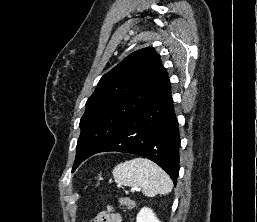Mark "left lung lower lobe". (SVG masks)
<instances>
[{"label": "left lung lower lobe", "instance_id": "left-lung-lower-lobe-1", "mask_svg": "<svg viewBox=\"0 0 257 222\" xmlns=\"http://www.w3.org/2000/svg\"><path fill=\"white\" fill-rule=\"evenodd\" d=\"M179 147L178 121L170 85L97 153L118 151L143 156L166 171L176 185Z\"/></svg>", "mask_w": 257, "mask_h": 222}]
</instances>
